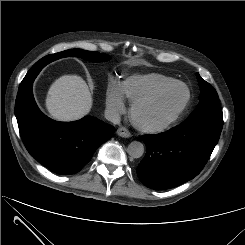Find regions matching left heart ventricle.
<instances>
[{"label":"left heart ventricle","mask_w":245,"mask_h":245,"mask_svg":"<svg viewBox=\"0 0 245 245\" xmlns=\"http://www.w3.org/2000/svg\"><path fill=\"white\" fill-rule=\"evenodd\" d=\"M186 98V90L175 86L159 99L144 105L139 110V119L149 125H157L170 119L182 106Z\"/></svg>","instance_id":"obj_1"}]
</instances>
